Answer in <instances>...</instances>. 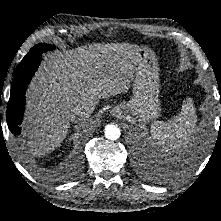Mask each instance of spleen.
Listing matches in <instances>:
<instances>
[{
  "mask_svg": "<svg viewBox=\"0 0 221 221\" xmlns=\"http://www.w3.org/2000/svg\"><path fill=\"white\" fill-rule=\"evenodd\" d=\"M195 110L192 100L186 99L177 116L151 124V137L162 153L179 154L181 149L188 147L198 130Z\"/></svg>",
  "mask_w": 221,
  "mask_h": 221,
  "instance_id": "obj_1",
  "label": "spleen"
}]
</instances>
